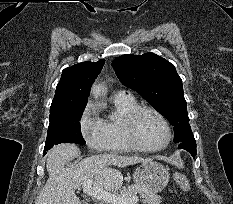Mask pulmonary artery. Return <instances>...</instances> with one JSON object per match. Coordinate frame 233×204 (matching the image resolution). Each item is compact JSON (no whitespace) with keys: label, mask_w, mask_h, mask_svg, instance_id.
I'll return each mask as SVG.
<instances>
[{"label":"pulmonary artery","mask_w":233,"mask_h":204,"mask_svg":"<svg viewBox=\"0 0 233 204\" xmlns=\"http://www.w3.org/2000/svg\"><path fill=\"white\" fill-rule=\"evenodd\" d=\"M116 95H129V94L124 90H119L116 92Z\"/></svg>","instance_id":"e3ab8cb5"}]
</instances>
